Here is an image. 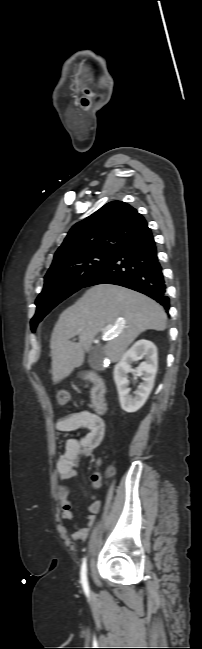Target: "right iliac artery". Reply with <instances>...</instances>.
<instances>
[{
    "instance_id": "right-iliac-artery-1",
    "label": "right iliac artery",
    "mask_w": 202,
    "mask_h": 649,
    "mask_svg": "<svg viewBox=\"0 0 202 649\" xmlns=\"http://www.w3.org/2000/svg\"><path fill=\"white\" fill-rule=\"evenodd\" d=\"M80 577H81V583H82V587L84 589V592L86 593V595H89V585H88V580H87V564H86V559L85 558H84L82 566H81Z\"/></svg>"
}]
</instances>
